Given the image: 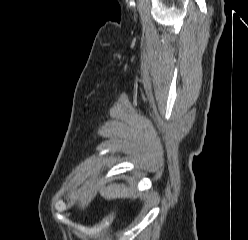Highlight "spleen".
Wrapping results in <instances>:
<instances>
[{
  "label": "spleen",
  "mask_w": 248,
  "mask_h": 240,
  "mask_svg": "<svg viewBox=\"0 0 248 240\" xmlns=\"http://www.w3.org/2000/svg\"><path fill=\"white\" fill-rule=\"evenodd\" d=\"M132 194V190L127 188L124 184H113L101 191V195L105 199L124 198Z\"/></svg>",
  "instance_id": "1"
}]
</instances>
